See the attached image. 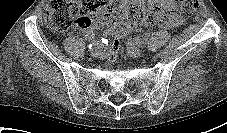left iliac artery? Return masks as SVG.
<instances>
[{
    "label": "left iliac artery",
    "instance_id": "44dca946",
    "mask_svg": "<svg viewBox=\"0 0 227 133\" xmlns=\"http://www.w3.org/2000/svg\"><path fill=\"white\" fill-rule=\"evenodd\" d=\"M128 44L129 45L144 46L146 44V41H141V40H138V39H129Z\"/></svg>",
    "mask_w": 227,
    "mask_h": 133
}]
</instances>
